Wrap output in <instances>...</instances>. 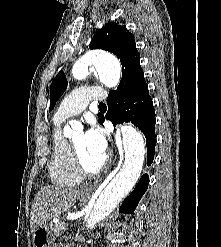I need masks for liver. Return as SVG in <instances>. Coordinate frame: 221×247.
<instances>
[{
  "label": "liver",
  "instance_id": "6515ba94",
  "mask_svg": "<svg viewBox=\"0 0 221 247\" xmlns=\"http://www.w3.org/2000/svg\"><path fill=\"white\" fill-rule=\"evenodd\" d=\"M79 190L69 187L45 186L35 197L30 215V227H37L68 211L75 203Z\"/></svg>",
  "mask_w": 221,
  "mask_h": 247
}]
</instances>
